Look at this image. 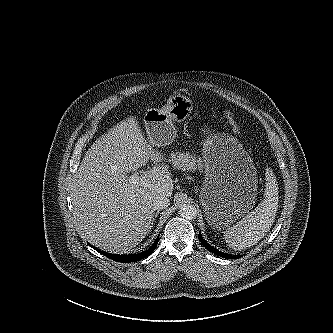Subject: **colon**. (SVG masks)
Returning a JSON list of instances; mask_svg holds the SVG:
<instances>
[{
    "label": "colon",
    "instance_id": "colon-1",
    "mask_svg": "<svg viewBox=\"0 0 333 333\" xmlns=\"http://www.w3.org/2000/svg\"><path fill=\"white\" fill-rule=\"evenodd\" d=\"M226 115H227V118L229 119L234 131L237 133H241V127L235 120L234 116L230 112H227Z\"/></svg>",
    "mask_w": 333,
    "mask_h": 333
}]
</instances>
